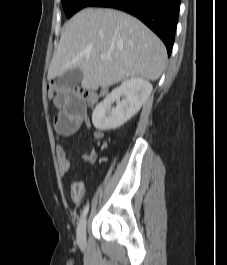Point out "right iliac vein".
I'll return each instance as SVG.
<instances>
[{"label":"right iliac vein","instance_id":"obj_1","mask_svg":"<svg viewBox=\"0 0 227 265\" xmlns=\"http://www.w3.org/2000/svg\"><path fill=\"white\" fill-rule=\"evenodd\" d=\"M77 242L80 246L86 244V219H83L77 228Z\"/></svg>","mask_w":227,"mask_h":265}]
</instances>
